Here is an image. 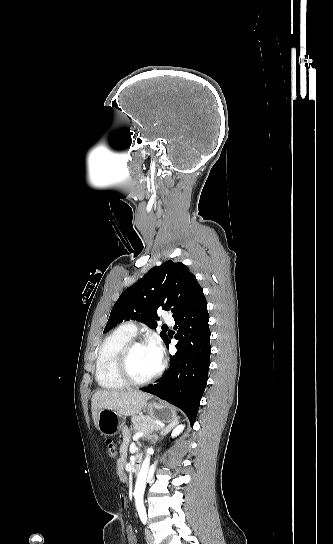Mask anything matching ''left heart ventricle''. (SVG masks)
<instances>
[{
  "label": "left heart ventricle",
  "mask_w": 333,
  "mask_h": 544,
  "mask_svg": "<svg viewBox=\"0 0 333 544\" xmlns=\"http://www.w3.org/2000/svg\"><path fill=\"white\" fill-rule=\"evenodd\" d=\"M149 345L136 346L130 356L129 367L135 379L143 380L154 374L159 368Z\"/></svg>",
  "instance_id": "left-heart-ventricle-1"
}]
</instances>
